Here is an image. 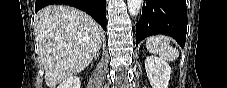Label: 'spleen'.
<instances>
[{
    "label": "spleen",
    "mask_w": 227,
    "mask_h": 88,
    "mask_svg": "<svg viewBox=\"0 0 227 88\" xmlns=\"http://www.w3.org/2000/svg\"><path fill=\"white\" fill-rule=\"evenodd\" d=\"M146 48L150 53L159 54L167 61H173L179 57L178 49L170 46V39L165 35L151 36L146 40Z\"/></svg>",
    "instance_id": "spleen-1"
}]
</instances>
